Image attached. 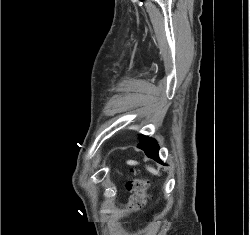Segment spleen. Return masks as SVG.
<instances>
[{
  "label": "spleen",
  "mask_w": 250,
  "mask_h": 235,
  "mask_svg": "<svg viewBox=\"0 0 250 235\" xmlns=\"http://www.w3.org/2000/svg\"><path fill=\"white\" fill-rule=\"evenodd\" d=\"M127 164H129V165H135V164H137V162H135V161H128ZM147 170H148L150 173L154 174V175H158V174H159V172H158L156 169L152 168V167H149V166H148V167H147Z\"/></svg>",
  "instance_id": "obj_1"
}]
</instances>
